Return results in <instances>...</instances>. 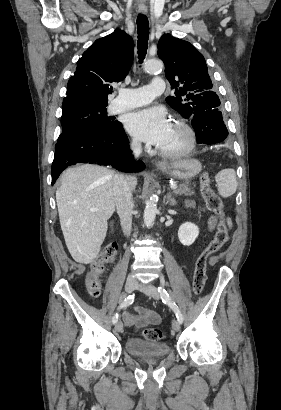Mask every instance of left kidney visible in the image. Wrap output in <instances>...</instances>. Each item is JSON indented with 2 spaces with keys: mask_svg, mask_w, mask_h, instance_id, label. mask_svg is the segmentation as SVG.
Here are the masks:
<instances>
[{
  "mask_svg": "<svg viewBox=\"0 0 281 410\" xmlns=\"http://www.w3.org/2000/svg\"><path fill=\"white\" fill-rule=\"evenodd\" d=\"M198 235L199 228L191 222H185L179 227L178 238L184 246L192 245Z\"/></svg>",
  "mask_w": 281,
  "mask_h": 410,
  "instance_id": "left-kidney-1",
  "label": "left kidney"
}]
</instances>
